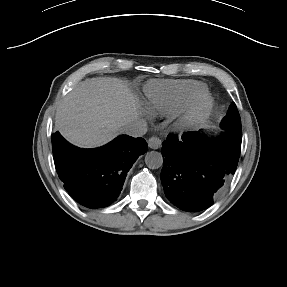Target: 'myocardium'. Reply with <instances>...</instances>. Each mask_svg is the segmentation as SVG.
<instances>
[{"mask_svg": "<svg viewBox=\"0 0 287 287\" xmlns=\"http://www.w3.org/2000/svg\"><path fill=\"white\" fill-rule=\"evenodd\" d=\"M213 106V98L207 90L195 94L179 111L180 127L187 129L199 123L208 116Z\"/></svg>", "mask_w": 287, "mask_h": 287, "instance_id": "myocardium-1", "label": "myocardium"}]
</instances>
